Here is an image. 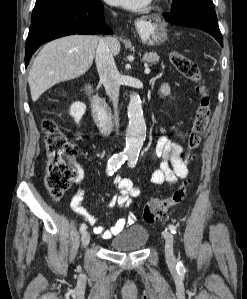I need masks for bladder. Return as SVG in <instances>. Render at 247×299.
<instances>
[{
	"label": "bladder",
	"mask_w": 247,
	"mask_h": 299,
	"mask_svg": "<svg viewBox=\"0 0 247 299\" xmlns=\"http://www.w3.org/2000/svg\"><path fill=\"white\" fill-rule=\"evenodd\" d=\"M147 240V230L141 225H132L117 234L110 241V246L120 252L136 251L143 248Z\"/></svg>",
	"instance_id": "31cf9c89"
}]
</instances>
